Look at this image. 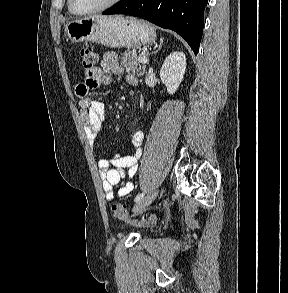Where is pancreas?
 I'll return each instance as SVG.
<instances>
[{"label": "pancreas", "mask_w": 288, "mask_h": 293, "mask_svg": "<svg viewBox=\"0 0 288 293\" xmlns=\"http://www.w3.org/2000/svg\"><path fill=\"white\" fill-rule=\"evenodd\" d=\"M120 62L127 70L137 74L138 76H142L145 72L146 66L138 60L135 49H127L124 51Z\"/></svg>", "instance_id": "pancreas-1"}]
</instances>
